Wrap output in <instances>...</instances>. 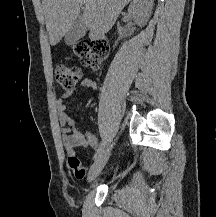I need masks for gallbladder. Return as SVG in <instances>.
<instances>
[{
    "instance_id": "bac80fb5",
    "label": "gallbladder",
    "mask_w": 216,
    "mask_h": 217,
    "mask_svg": "<svg viewBox=\"0 0 216 217\" xmlns=\"http://www.w3.org/2000/svg\"><path fill=\"white\" fill-rule=\"evenodd\" d=\"M86 33V28L84 27L82 17H78L73 23L71 28L65 35L64 41L66 45L72 46L77 43Z\"/></svg>"
}]
</instances>
